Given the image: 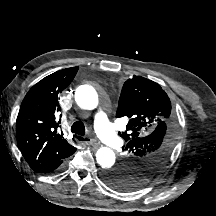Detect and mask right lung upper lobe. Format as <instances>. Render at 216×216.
Instances as JSON below:
<instances>
[{"label":"right lung upper lobe","mask_w":216,"mask_h":216,"mask_svg":"<svg viewBox=\"0 0 216 216\" xmlns=\"http://www.w3.org/2000/svg\"><path fill=\"white\" fill-rule=\"evenodd\" d=\"M78 67L57 71L39 81L22 101L17 121V141L35 172H43L75 153L58 130V95L72 82ZM61 116V115H60Z\"/></svg>","instance_id":"1"}]
</instances>
